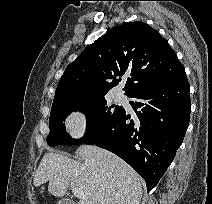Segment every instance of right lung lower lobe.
Wrapping results in <instances>:
<instances>
[{"label": "right lung lower lobe", "instance_id": "1", "mask_svg": "<svg viewBox=\"0 0 212 204\" xmlns=\"http://www.w3.org/2000/svg\"><path fill=\"white\" fill-rule=\"evenodd\" d=\"M128 97L135 112L125 109L84 143L109 150L126 161L146 181L156 186L173 161L188 128L191 102L185 71L163 84L140 89Z\"/></svg>", "mask_w": 212, "mask_h": 204}]
</instances>
